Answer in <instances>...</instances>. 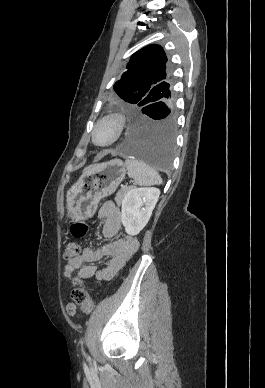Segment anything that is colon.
I'll list each match as a JSON object with an SVG mask.
<instances>
[{"label":"colon","mask_w":265,"mask_h":388,"mask_svg":"<svg viewBox=\"0 0 265 388\" xmlns=\"http://www.w3.org/2000/svg\"><path fill=\"white\" fill-rule=\"evenodd\" d=\"M70 231L74 237L80 238L86 235L88 231V225L82 221L75 220L70 227ZM79 254L80 246L76 243H70L65 249L64 258L70 261L79 256ZM71 298L83 312L89 313L93 310L94 303L88 292L85 290L82 280L79 278L75 281V284L72 288Z\"/></svg>","instance_id":"obj_1"}]
</instances>
